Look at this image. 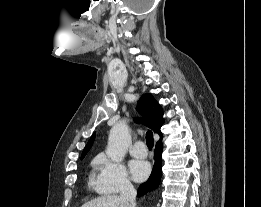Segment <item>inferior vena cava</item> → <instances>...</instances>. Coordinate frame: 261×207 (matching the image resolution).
<instances>
[{"mask_svg": "<svg viewBox=\"0 0 261 207\" xmlns=\"http://www.w3.org/2000/svg\"><path fill=\"white\" fill-rule=\"evenodd\" d=\"M136 190L134 189L133 185L129 181H125L122 189H121V194L120 198L130 204V207H135L136 206Z\"/></svg>", "mask_w": 261, "mask_h": 207, "instance_id": "602c4592", "label": "inferior vena cava"}]
</instances>
